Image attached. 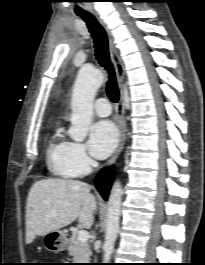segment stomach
Segmentation results:
<instances>
[{
	"mask_svg": "<svg viewBox=\"0 0 205 265\" xmlns=\"http://www.w3.org/2000/svg\"><path fill=\"white\" fill-rule=\"evenodd\" d=\"M44 247L54 253L63 251L67 247V241L62 231H52L43 236Z\"/></svg>",
	"mask_w": 205,
	"mask_h": 265,
	"instance_id": "0dacf381",
	"label": "stomach"
}]
</instances>
